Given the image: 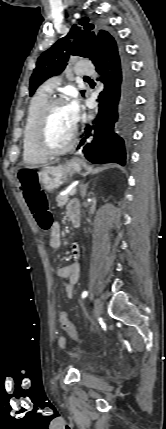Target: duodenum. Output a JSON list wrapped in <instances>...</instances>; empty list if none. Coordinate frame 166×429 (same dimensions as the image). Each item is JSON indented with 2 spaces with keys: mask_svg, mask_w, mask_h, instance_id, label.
<instances>
[{
  "mask_svg": "<svg viewBox=\"0 0 166 429\" xmlns=\"http://www.w3.org/2000/svg\"><path fill=\"white\" fill-rule=\"evenodd\" d=\"M70 218L74 227H78L80 225V212L72 211L70 213Z\"/></svg>",
  "mask_w": 166,
  "mask_h": 429,
  "instance_id": "obj_1",
  "label": "duodenum"
}]
</instances>
